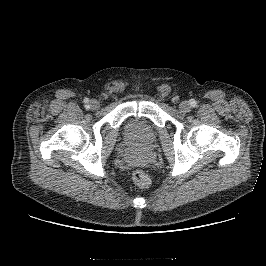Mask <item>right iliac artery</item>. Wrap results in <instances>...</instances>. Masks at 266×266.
<instances>
[{
    "instance_id": "obj_1",
    "label": "right iliac artery",
    "mask_w": 266,
    "mask_h": 266,
    "mask_svg": "<svg viewBox=\"0 0 266 266\" xmlns=\"http://www.w3.org/2000/svg\"><path fill=\"white\" fill-rule=\"evenodd\" d=\"M88 101H89L88 99H84V102H85V103H88Z\"/></svg>"
}]
</instances>
